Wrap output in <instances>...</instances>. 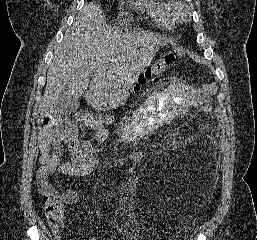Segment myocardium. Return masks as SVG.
I'll return each mask as SVG.
<instances>
[{
    "instance_id": "1",
    "label": "myocardium",
    "mask_w": 257,
    "mask_h": 240,
    "mask_svg": "<svg viewBox=\"0 0 257 240\" xmlns=\"http://www.w3.org/2000/svg\"><path fill=\"white\" fill-rule=\"evenodd\" d=\"M189 8L184 3H177L174 7V13L179 18H185L188 15Z\"/></svg>"
}]
</instances>
